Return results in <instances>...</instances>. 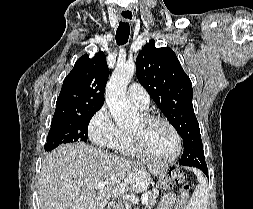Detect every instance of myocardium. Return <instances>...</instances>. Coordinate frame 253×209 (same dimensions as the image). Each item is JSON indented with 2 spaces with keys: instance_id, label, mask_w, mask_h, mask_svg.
Masks as SVG:
<instances>
[{
  "instance_id": "f54148a6",
  "label": "myocardium",
  "mask_w": 253,
  "mask_h": 209,
  "mask_svg": "<svg viewBox=\"0 0 253 209\" xmlns=\"http://www.w3.org/2000/svg\"><path fill=\"white\" fill-rule=\"evenodd\" d=\"M141 119L145 125L150 124L152 122H156V121L165 123L172 130V132L175 136L176 150L169 158H166V159L156 158L146 151V149L144 147L143 135L139 132L130 131L133 145H134V148H135L136 152L138 153V155L148 161H151V162H154L157 164H169V163H172L173 161H175L179 157V155L182 151V137H181L178 129L176 128V126L169 119H167L166 117L161 116V115L144 113L141 116Z\"/></svg>"
}]
</instances>
